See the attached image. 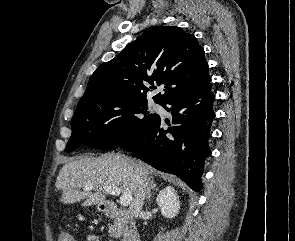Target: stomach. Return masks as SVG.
<instances>
[{"instance_id": "stomach-1", "label": "stomach", "mask_w": 295, "mask_h": 241, "mask_svg": "<svg viewBox=\"0 0 295 241\" xmlns=\"http://www.w3.org/2000/svg\"><path fill=\"white\" fill-rule=\"evenodd\" d=\"M97 209H98L99 211H102V209H103L102 204H98V205H97Z\"/></svg>"}]
</instances>
